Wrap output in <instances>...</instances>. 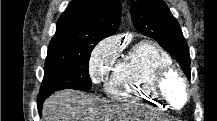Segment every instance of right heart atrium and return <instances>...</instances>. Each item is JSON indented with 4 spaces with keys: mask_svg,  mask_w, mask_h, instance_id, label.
I'll return each mask as SVG.
<instances>
[{
    "mask_svg": "<svg viewBox=\"0 0 217 121\" xmlns=\"http://www.w3.org/2000/svg\"><path fill=\"white\" fill-rule=\"evenodd\" d=\"M119 48L115 39L107 38L100 42L91 54L89 74L94 83H99L115 62Z\"/></svg>",
    "mask_w": 217,
    "mask_h": 121,
    "instance_id": "d8ad5b80",
    "label": "right heart atrium"
}]
</instances>
